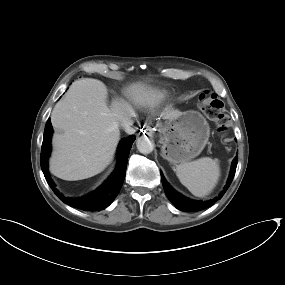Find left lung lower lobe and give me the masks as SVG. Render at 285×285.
<instances>
[{
	"label": "left lung lower lobe",
	"instance_id": "0a47b994",
	"mask_svg": "<svg viewBox=\"0 0 285 285\" xmlns=\"http://www.w3.org/2000/svg\"><path fill=\"white\" fill-rule=\"evenodd\" d=\"M237 162H238V157L236 156L232 162V168H231V171L229 174L227 184L225 185V188L223 189V191L219 195V197H217L213 200L203 202V201H194V200H191L189 198H186L185 196L181 195L176 190H174L168 184V182L165 180L163 173L161 171L160 173H161V179H162L164 191H165L168 199L174 204V206L177 209H179L181 211L191 212V211L203 210V209L211 206L216 200L220 199L224 195V193L227 191V189L229 188V186L233 180V177L235 175Z\"/></svg>",
	"mask_w": 285,
	"mask_h": 285
}]
</instances>
